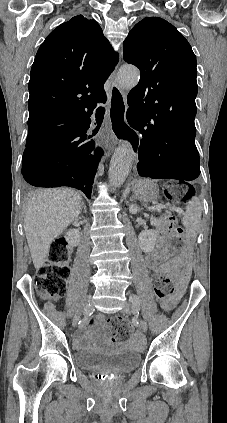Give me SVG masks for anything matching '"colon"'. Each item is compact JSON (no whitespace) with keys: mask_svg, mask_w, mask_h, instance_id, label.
Here are the masks:
<instances>
[{"mask_svg":"<svg viewBox=\"0 0 227 423\" xmlns=\"http://www.w3.org/2000/svg\"><path fill=\"white\" fill-rule=\"evenodd\" d=\"M166 196L171 200L179 202L185 201L193 195L191 186H171L165 191ZM163 226L168 230H175L169 248L177 251L182 245V229L176 227V219L173 215H165L162 218ZM70 250L63 242L54 243L48 253L45 263L41 266L35 277L36 290L44 298H61L66 291L67 282L70 275ZM154 290L158 298L166 300L173 295L174 286L171 279L164 275L153 277ZM114 327V335L126 338L131 335V325L120 317H115L110 321Z\"/></svg>","mask_w":227,"mask_h":423,"instance_id":"obj_1","label":"colon"}]
</instances>
